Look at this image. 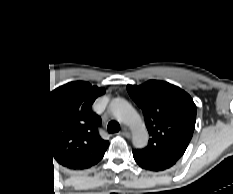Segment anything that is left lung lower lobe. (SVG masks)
<instances>
[{
  "label": "left lung lower lobe",
  "instance_id": "1",
  "mask_svg": "<svg viewBox=\"0 0 233 194\" xmlns=\"http://www.w3.org/2000/svg\"><path fill=\"white\" fill-rule=\"evenodd\" d=\"M133 156L139 166L144 169H149L153 171H161L167 169L176 163L173 160L155 159L144 155L137 150H133Z\"/></svg>",
  "mask_w": 233,
  "mask_h": 194
}]
</instances>
